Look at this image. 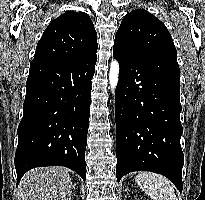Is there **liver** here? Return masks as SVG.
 Wrapping results in <instances>:
<instances>
[{
    "label": "liver",
    "instance_id": "liver-1",
    "mask_svg": "<svg viewBox=\"0 0 205 200\" xmlns=\"http://www.w3.org/2000/svg\"><path fill=\"white\" fill-rule=\"evenodd\" d=\"M71 177L63 167L35 168L24 174L19 184L21 200H70Z\"/></svg>",
    "mask_w": 205,
    "mask_h": 200
}]
</instances>
